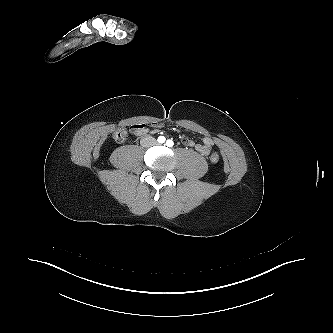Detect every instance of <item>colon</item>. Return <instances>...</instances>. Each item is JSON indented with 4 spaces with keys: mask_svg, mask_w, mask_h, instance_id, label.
Here are the masks:
<instances>
[{
    "mask_svg": "<svg viewBox=\"0 0 333 333\" xmlns=\"http://www.w3.org/2000/svg\"><path fill=\"white\" fill-rule=\"evenodd\" d=\"M115 141L117 142H123L126 137H127V131L125 129H118L114 135H113ZM210 161L215 164V163H218L219 161V155L217 153H213L211 156H210Z\"/></svg>",
    "mask_w": 333,
    "mask_h": 333,
    "instance_id": "1",
    "label": "colon"
}]
</instances>
